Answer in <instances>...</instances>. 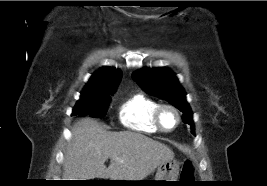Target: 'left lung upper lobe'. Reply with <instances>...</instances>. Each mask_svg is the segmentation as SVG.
Returning <instances> with one entry per match:
<instances>
[{"label": "left lung upper lobe", "instance_id": "5c2ea615", "mask_svg": "<svg viewBox=\"0 0 267 186\" xmlns=\"http://www.w3.org/2000/svg\"><path fill=\"white\" fill-rule=\"evenodd\" d=\"M133 79L147 93L167 100L183 113V122L191 126L194 134L192 112L186 101V94L175 74L168 68H143L132 75Z\"/></svg>", "mask_w": 267, "mask_h": 186}]
</instances>
